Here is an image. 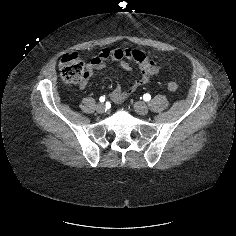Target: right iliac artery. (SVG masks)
I'll use <instances>...</instances> for the list:
<instances>
[{
    "label": "right iliac artery",
    "instance_id": "obj_1",
    "mask_svg": "<svg viewBox=\"0 0 236 236\" xmlns=\"http://www.w3.org/2000/svg\"><path fill=\"white\" fill-rule=\"evenodd\" d=\"M99 100H100V102H104V101H105V97H104V96H101V97L99 98Z\"/></svg>",
    "mask_w": 236,
    "mask_h": 236
}]
</instances>
